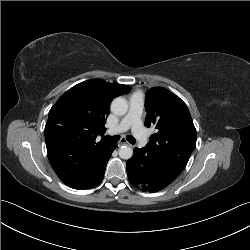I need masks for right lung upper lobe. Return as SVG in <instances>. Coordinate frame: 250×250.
Instances as JSON below:
<instances>
[{"label":"right lung upper lobe","instance_id":"1","mask_svg":"<svg viewBox=\"0 0 250 250\" xmlns=\"http://www.w3.org/2000/svg\"><path fill=\"white\" fill-rule=\"evenodd\" d=\"M131 87L92 79L66 91L49 111L45 126L47 154L63 183L85 189L96 178L99 164L112 144L104 139L111 101Z\"/></svg>","mask_w":250,"mask_h":250}]
</instances>
